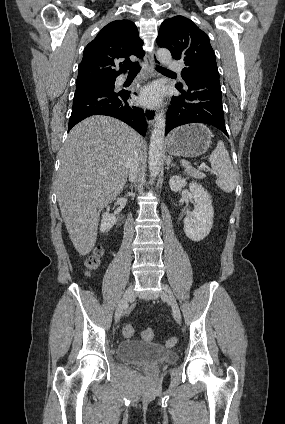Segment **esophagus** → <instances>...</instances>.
<instances>
[{
	"mask_svg": "<svg viewBox=\"0 0 285 424\" xmlns=\"http://www.w3.org/2000/svg\"><path fill=\"white\" fill-rule=\"evenodd\" d=\"M159 60L155 54V52L151 53V58H150V67L151 69L154 71L155 68L157 66H159ZM156 73V72H155ZM144 114H145V118L147 123L151 126L154 124L156 118H157V111L155 109L149 108V107H144Z\"/></svg>",
	"mask_w": 285,
	"mask_h": 424,
	"instance_id": "obj_1",
	"label": "esophagus"
}]
</instances>
